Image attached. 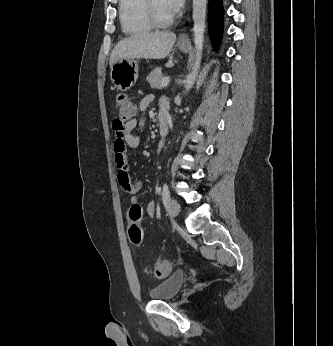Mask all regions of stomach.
<instances>
[{
	"instance_id": "1",
	"label": "stomach",
	"mask_w": 333,
	"mask_h": 346,
	"mask_svg": "<svg viewBox=\"0 0 333 346\" xmlns=\"http://www.w3.org/2000/svg\"><path fill=\"white\" fill-rule=\"evenodd\" d=\"M181 51H187V45L178 43ZM138 62L135 59H121L116 61L110 70V78L116 89L129 90L138 78Z\"/></svg>"
}]
</instances>
